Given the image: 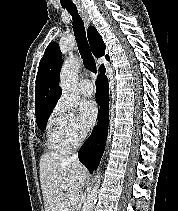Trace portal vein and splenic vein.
<instances>
[{"label":"portal vein and splenic vein","mask_w":178,"mask_h":211,"mask_svg":"<svg viewBox=\"0 0 178 211\" xmlns=\"http://www.w3.org/2000/svg\"><path fill=\"white\" fill-rule=\"evenodd\" d=\"M60 189L65 191L67 188H66L65 185H60ZM69 199H70V202H71L72 205L75 206L77 204L78 199H77L76 195H70Z\"/></svg>","instance_id":"portal-vein-and-splenic-vein-1"}]
</instances>
